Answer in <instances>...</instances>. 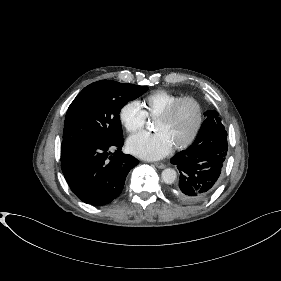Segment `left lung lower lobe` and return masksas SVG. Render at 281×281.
Segmentation results:
<instances>
[{
    "label": "left lung lower lobe",
    "instance_id": "left-lung-lower-lobe-1",
    "mask_svg": "<svg viewBox=\"0 0 281 281\" xmlns=\"http://www.w3.org/2000/svg\"><path fill=\"white\" fill-rule=\"evenodd\" d=\"M193 144L170 161L177 165L180 180L175 194L186 203H199L215 190L227 154V132L212 111L205 114Z\"/></svg>",
    "mask_w": 281,
    "mask_h": 281
}]
</instances>
